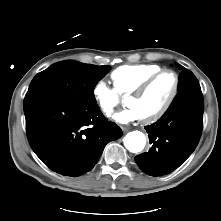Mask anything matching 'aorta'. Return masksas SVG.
Returning a JSON list of instances; mask_svg holds the SVG:
<instances>
[{
    "label": "aorta",
    "instance_id": "1",
    "mask_svg": "<svg viewBox=\"0 0 221 221\" xmlns=\"http://www.w3.org/2000/svg\"><path fill=\"white\" fill-rule=\"evenodd\" d=\"M145 144H146V137L140 131L129 132L124 139V145L126 149L132 153H137L142 151L145 147Z\"/></svg>",
    "mask_w": 221,
    "mask_h": 221
}]
</instances>
